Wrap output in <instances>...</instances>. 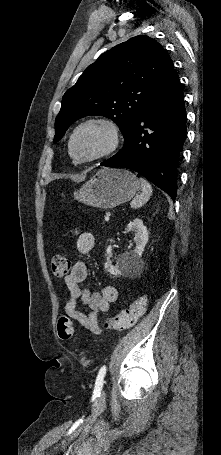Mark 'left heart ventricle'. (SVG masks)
<instances>
[{"instance_id": "left-heart-ventricle-1", "label": "left heart ventricle", "mask_w": 221, "mask_h": 455, "mask_svg": "<svg viewBox=\"0 0 221 455\" xmlns=\"http://www.w3.org/2000/svg\"><path fill=\"white\" fill-rule=\"evenodd\" d=\"M108 144V136L104 129L90 126L83 129L74 144L75 154L80 158L90 157L101 152Z\"/></svg>"}]
</instances>
